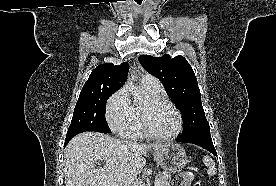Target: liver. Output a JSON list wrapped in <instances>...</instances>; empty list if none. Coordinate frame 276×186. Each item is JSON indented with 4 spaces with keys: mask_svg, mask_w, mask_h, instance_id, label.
Instances as JSON below:
<instances>
[{
    "mask_svg": "<svg viewBox=\"0 0 276 186\" xmlns=\"http://www.w3.org/2000/svg\"><path fill=\"white\" fill-rule=\"evenodd\" d=\"M166 144H137L98 132L76 135L64 151L65 186H131L146 164L147 152ZM98 160L104 167L96 168Z\"/></svg>",
    "mask_w": 276,
    "mask_h": 186,
    "instance_id": "6515ba94",
    "label": "liver"
}]
</instances>
